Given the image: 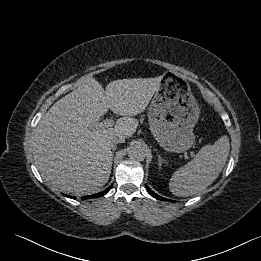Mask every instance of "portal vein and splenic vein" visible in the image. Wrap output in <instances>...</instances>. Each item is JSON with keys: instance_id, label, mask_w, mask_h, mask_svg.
Listing matches in <instances>:
<instances>
[{"instance_id": "portal-vein-and-splenic-vein-1", "label": "portal vein and splenic vein", "mask_w": 261, "mask_h": 261, "mask_svg": "<svg viewBox=\"0 0 261 261\" xmlns=\"http://www.w3.org/2000/svg\"><path fill=\"white\" fill-rule=\"evenodd\" d=\"M114 125V121L113 119H105L103 122L101 123H96L94 124L95 128H108V127H112ZM189 155L191 157H195V153L190 151Z\"/></svg>"}]
</instances>
